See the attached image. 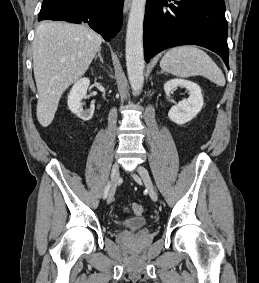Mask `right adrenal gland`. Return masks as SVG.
Returning <instances> with one entry per match:
<instances>
[{"mask_svg": "<svg viewBox=\"0 0 259 283\" xmlns=\"http://www.w3.org/2000/svg\"><path fill=\"white\" fill-rule=\"evenodd\" d=\"M97 58H99L101 63H103V57L101 56L100 50L98 51V54L95 56V60H97Z\"/></svg>", "mask_w": 259, "mask_h": 283, "instance_id": "2a0ac1e0", "label": "right adrenal gland"}]
</instances>
